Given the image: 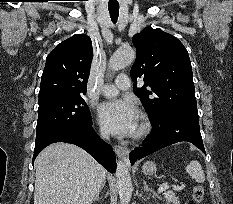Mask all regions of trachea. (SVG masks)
<instances>
[{
    "mask_svg": "<svg viewBox=\"0 0 233 204\" xmlns=\"http://www.w3.org/2000/svg\"><path fill=\"white\" fill-rule=\"evenodd\" d=\"M110 17L113 23H116L119 16V5H110L108 6Z\"/></svg>",
    "mask_w": 233,
    "mask_h": 204,
    "instance_id": "1",
    "label": "trachea"
}]
</instances>
